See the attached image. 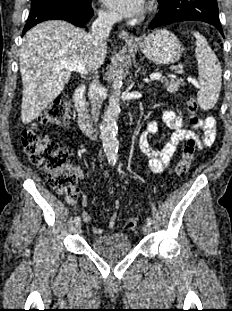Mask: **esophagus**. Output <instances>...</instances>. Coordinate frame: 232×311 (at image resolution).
Listing matches in <instances>:
<instances>
[{
    "label": "esophagus",
    "instance_id": "1",
    "mask_svg": "<svg viewBox=\"0 0 232 311\" xmlns=\"http://www.w3.org/2000/svg\"><path fill=\"white\" fill-rule=\"evenodd\" d=\"M119 38L122 40H125V41H132L133 40V37H131L129 35V33L127 31H124V30H121L119 32Z\"/></svg>",
    "mask_w": 232,
    "mask_h": 311
}]
</instances>
